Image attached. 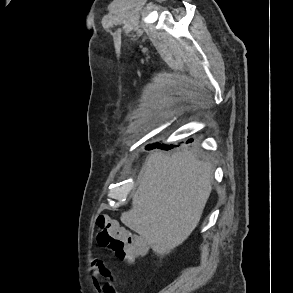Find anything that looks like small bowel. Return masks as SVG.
Masks as SVG:
<instances>
[{"instance_id":"small-bowel-1","label":"small bowel","mask_w":293,"mask_h":293,"mask_svg":"<svg viewBox=\"0 0 293 293\" xmlns=\"http://www.w3.org/2000/svg\"><path fill=\"white\" fill-rule=\"evenodd\" d=\"M93 282L99 293H119L113 281V272L99 259L92 261ZM100 281H104L103 284Z\"/></svg>"}]
</instances>
